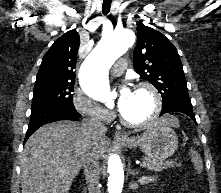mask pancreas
Instances as JSON below:
<instances>
[{
	"label": "pancreas",
	"mask_w": 221,
	"mask_h": 193,
	"mask_svg": "<svg viewBox=\"0 0 221 193\" xmlns=\"http://www.w3.org/2000/svg\"><path fill=\"white\" fill-rule=\"evenodd\" d=\"M144 162L146 163L145 167H147L148 170L156 171V172H160V171L167 169L169 167H173L176 164V162L173 160H168L166 162H162V161L145 159Z\"/></svg>",
	"instance_id": "1"
}]
</instances>
